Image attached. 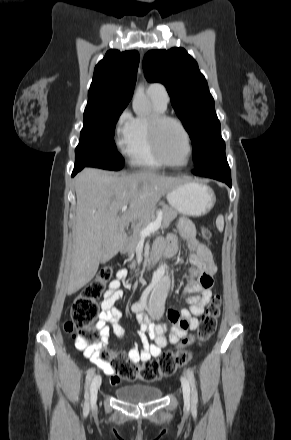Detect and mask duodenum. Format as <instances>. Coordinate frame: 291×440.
<instances>
[{
    "mask_svg": "<svg viewBox=\"0 0 291 440\" xmlns=\"http://www.w3.org/2000/svg\"><path fill=\"white\" fill-rule=\"evenodd\" d=\"M119 239V238H118ZM159 254L156 252H151L146 258H145V265L150 267L158 258Z\"/></svg>",
    "mask_w": 291,
    "mask_h": 440,
    "instance_id": "410a0bca",
    "label": "duodenum"
}]
</instances>
